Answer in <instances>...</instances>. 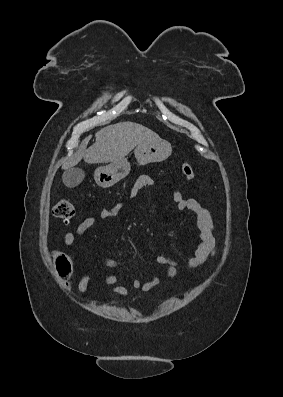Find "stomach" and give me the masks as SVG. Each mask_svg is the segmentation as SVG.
Segmentation results:
<instances>
[{"instance_id":"obj_1","label":"stomach","mask_w":283,"mask_h":397,"mask_svg":"<svg viewBox=\"0 0 283 397\" xmlns=\"http://www.w3.org/2000/svg\"><path fill=\"white\" fill-rule=\"evenodd\" d=\"M134 153L137 162L140 165H145L166 160L172 153V147L168 141L163 139L146 141L140 143ZM130 169V163L124 158L98 167L94 172V179L99 186L107 188L125 178Z\"/></svg>"}]
</instances>
